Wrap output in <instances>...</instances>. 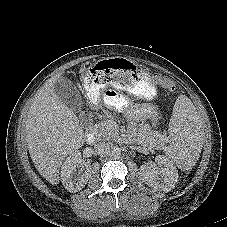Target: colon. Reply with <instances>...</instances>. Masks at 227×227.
<instances>
[{"instance_id":"5ec220e1","label":"colon","mask_w":227,"mask_h":227,"mask_svg":"<svg viewBox=\"0 0 227 227\" xmlns=\"http://www.w3.org/2000/svg\"><path fill=\"white\" fill-rule=\"evenodd\" d=\"M156 80L160 83L163 84L164 86H166L169 89H174L175 85L172 81L168 80V79H164L161 77H156Z\"/></svg>"}]
</instances>
